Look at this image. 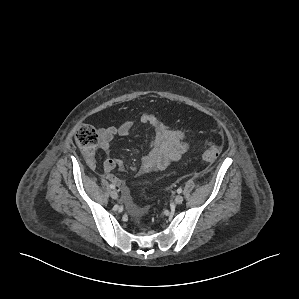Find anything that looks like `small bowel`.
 Returning a JSON list of instances; mask_svg holds the SVG:
<instances>
[{"mask_svg":"<svg viewBox=\"0 0 299 299\" xmlns=\"http://www.w3.org/2000/svg\"><path fill=\"white\" fill-rule=\"evenodd\" d=\"M141 123L149 125L152 129L149 148L141 159V174H147L162 171L172 163L178 161L182 155L188 150L189 144L185 139L182 131L172 129L160 122L153 114H145L141 118ZM135 127L133 120H126L120 126H107L98 130L100 138V148L108 151L111 147L113 139L117 136H128L133 133ZM94 166V162H90ZM122 162L117 159L108 158L104 162L105 177L122 187L126 191V187L122 180L117 178L111 172L120 167ZM144 207H133L134 214H140L144 211Z\"/></svg>","mask_w":299,"mask_h":299,"instance_id":"c3829d8e","label":"small bowel"}]
</instances>
